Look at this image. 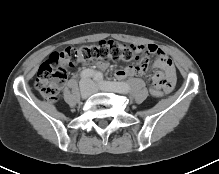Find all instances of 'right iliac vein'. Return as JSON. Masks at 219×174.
Returning <instances> with one entry per match:
<instances>
[{"instance_id": "1", "label": "right iliac vein", "mask_w": 219, "mask_h": 174, "mask_svg": "<svg viewBox=\"0 0 219 174\" xmlns=\"http://www.w3.org/2000/svg\"><path fill=\"white\" fill-rule=\"evenodd\" d=\"M80 93L83 99H87L92 93L90 85L88 83L81 84Z\"/></svg>"}]
</instances>
